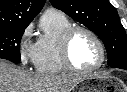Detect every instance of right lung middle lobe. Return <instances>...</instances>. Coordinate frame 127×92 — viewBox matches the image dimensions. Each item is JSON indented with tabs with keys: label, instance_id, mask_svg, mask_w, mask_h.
Here are the masks:
<instances>
[{
	"label": "right lung middle lobe",
	"instance_id": "obj_1",
	"mask_svg": "<svg viewBox=\"0 0 127 92\" xmlns=\"http://www.w3.org/2000/svg\"><path fill=\"white\" fill-rule=\"evenodd\" d=\"M26 26L0 27V58L20 61V41Z\"/></svg>",
	"mask_w": 127,
	"mask_h": 92
}]
</instances>
